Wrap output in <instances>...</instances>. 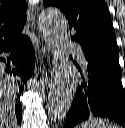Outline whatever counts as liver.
Returning a JSON list of instances; mask_svg holds the SVG:
<instances>
[{
	"mask_svg": "<svg viewBox=\"0 0 125 128\" xmlns=\"http://www.w3.org/2000/svg\"><path fill=\"white\" fill-rule=\"evenodd\" d=\"M14 100L13 86L0 79V128H17Z\"/></svg>",
	"mask_w": 125,
	"mask_h": 128,
	"instance_id": "liver-1",
	"label": "liver"
}]
</instances>
